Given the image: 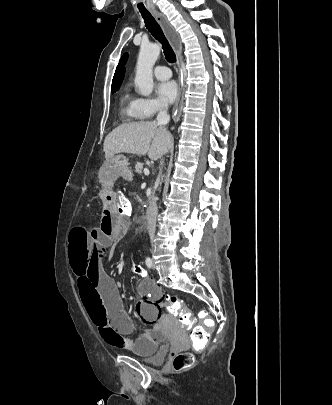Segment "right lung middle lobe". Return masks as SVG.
<instances>
[{"instance_id": "dd1d6c3e", "label": "right lung middle lobe", "mask_w": 332, "mask_h": 405, "mask_svg": "<svg viewBox=\"0 0 332 405\" xmlns=\"http://www.w3.org/2000/svg\"><path fill=\"white\" fill-rule=\"evenodd\" d=\"M120 87V84L117 86L112 87V93L116 92Z\"/></svg>"}]
</instances>
